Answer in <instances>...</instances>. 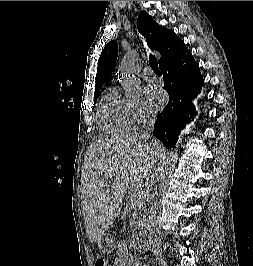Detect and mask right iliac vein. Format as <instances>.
Returning <instances> with one entry per match:
<instances>
[{
  "label": "right iliac vein",
  "instance_id": "right-iliac-vein-1",
  "mask_svg": "<svg viewBox=\"0 0 253 266\" xmlns=\"http://www.w3.org/2000/svg\"><path fill=\"white\" fill-rule=\"evenodd\" d=\"M159 266H167L166 262L163 260V258L159 257L157 259Z\"/></svg>",
  "mask_w": 253,
  "mask_h": 266
}]
</instances>
